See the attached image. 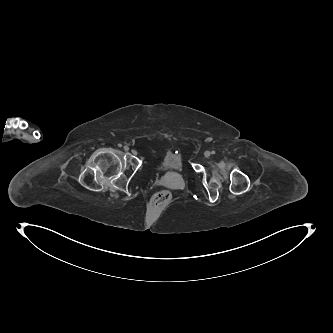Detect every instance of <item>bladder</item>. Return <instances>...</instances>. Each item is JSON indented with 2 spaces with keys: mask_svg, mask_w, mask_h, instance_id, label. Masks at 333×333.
<instances>
[{
  "mask_svg": "<svg viewBox=\"0 0 333 333\" xmlns=\"http://www.w3.org/2000/svg\"><path fill=\"white\" fill-rule=\"evenodd\" d=\"M159 170L162 173L181 172L183 170L182 158L172 151L166 152L160 161Z\"/></svg>",
  "mask_w": 333,
  "mask_h": 333,
  "instance_id": "31cf9c89",
  "label": "bladder"
}]
</instances>
